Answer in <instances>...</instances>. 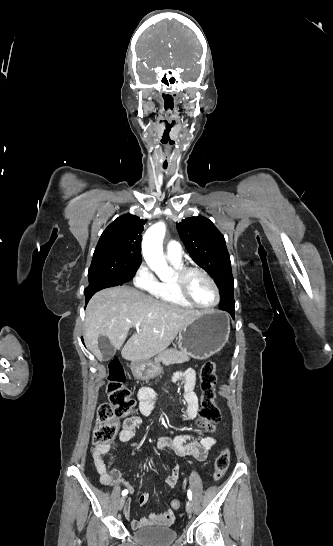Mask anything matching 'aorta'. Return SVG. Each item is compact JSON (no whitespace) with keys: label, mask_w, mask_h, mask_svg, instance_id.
<instances>
[{"label":"aorta","mask_w":333,"mask_h":546,"mask_svg":"<svg viewBox=\"0 0 333 546\" xmlns=\"http://www.w3.org/2000/svg\"><path fill=\"white\" fill-rule=\"evenodd\" d=\"M165 232V224L162 222L156 223L146 231L142 242L144 259L160 278L173 274V270L168 267L163 257L162 240Z\"/></svg>","instance_id":"obj_1"}]
</instances>
